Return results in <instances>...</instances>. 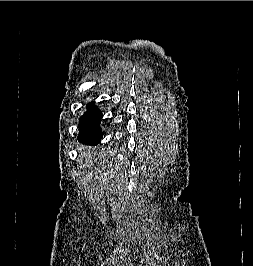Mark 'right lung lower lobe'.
<instances>
[{"mask_svg": "<svg viewBox=\"0 0 253 266\" xmlns=\"http://www.w3.org/2000/svg\"><path fill=\"white\" fill-rule=\"evenodd\" d=\"M102 112L94 103L88 104L87 111L79 119V141L84 144L96 145L102 139L100 127Z\"/></svg>", "mask_w": 253, "mask_h": 266, "instance_id": "98d812e1", "label": "right lung lower lobe"}]
</instances>
